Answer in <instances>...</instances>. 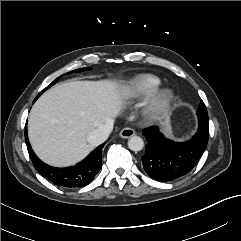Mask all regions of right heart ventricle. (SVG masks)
<instances>
[{"instance_id": "1", "label": "right heart ventricle", "mask_w": 241, "mask_h": 241, "mask_svg": "<svg viewBox=\"0 0 241 241\" xmlns=\"http://www.w3.org/2000/svg\"><path fill=\"white\" fill-rule=\"evenodd\" d=\"M161 79L150 73H141L132 77L125 86V93L128 97L142 98L159 87Z\"/></svg>"}]
</instances>
